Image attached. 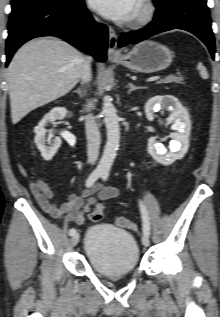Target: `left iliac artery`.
<instances>
[{
	"instance_id": "1",
	"label": "left iliac artery",
	"mask_w": 220,
	"mask_h": 317,
	"mask_svg": "<svg viewBox=\"0 0 220 317\" xmlns=\"http://www.w3.org/2000/svg\"><path fill=\"white\" fill-rule=\"evenodd\" d=\"M109 176V171L105 170L102 172V179L105 181L107 180ZM139 206H140V211H141V215H142V225H143V234L147 237H149L150 235V221H149V215H148V211L146 209V206L144 205V203L142 201L139 202Z\"/></svg>"
}]
</instances>
